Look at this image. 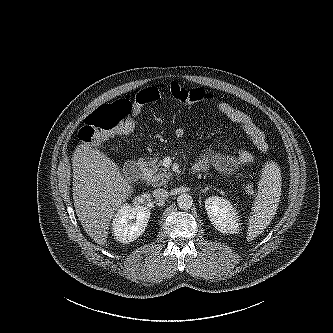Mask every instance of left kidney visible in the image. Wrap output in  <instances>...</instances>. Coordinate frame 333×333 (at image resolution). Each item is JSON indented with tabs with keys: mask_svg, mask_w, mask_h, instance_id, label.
Listing matches in <instances>:
<instances>
[{
	"mask_svg": "<svg viewBox=\"0 0 333 333\" xmlns=\"http://www.w3.org/2000/svg\"><path fill=\"white\" fill-rule=\"evenodd\" d=\"M205 209L212 225L221 233L236 234L239 231V219L235 207L229 200L219 196L206 199Z\"/></svg>",
	"mask_w": 333,
	"mask_h": 333,
	"instance_id": "obj_1",
	"label": "left kidney"
}]
</instances>
